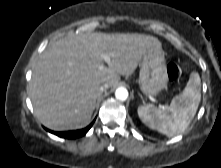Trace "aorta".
<instances>
[{"label":"aorta","mask_w":221,"mask_h":168,"mask_svg":"<svg viewBox=\"0 0 221 168\" xmlns=\"http://www.w3.org/2000/svg\"><path fill=\"white\" fill-rule=\"evenodd\" d=\"M115 97L118 100L125 101L128 98V91H127V89L123 88V87L117 88V90L115 91Z\"/></svg>","instance_id":"762f6f07"}]
</instances>
